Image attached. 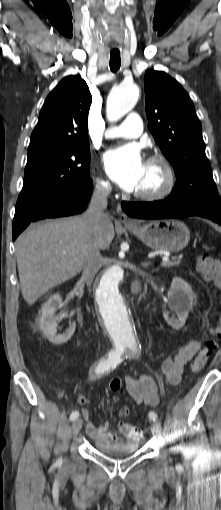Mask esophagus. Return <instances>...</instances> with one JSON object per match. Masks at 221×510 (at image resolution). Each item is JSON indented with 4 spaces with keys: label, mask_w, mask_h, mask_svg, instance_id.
I'll return each instance as SVG.
<instances>
[{
    "label": "esophagus",
    "mask_w": 221,
    "mask_h": 510,
    "mask_svg": "<svg viewBox=\"0 0 221 510\" xmlns=\"http://www.w3.org/2000/svg\"><path fill=\"white\" fill-rule=\"evenodd\" d=\"M119 220L121 223L127 225V224H134V221L130 219L125 213L121 212L119 215Z\"/></svg>",
    "instance_id": "34e87169"
}]
</instances>
